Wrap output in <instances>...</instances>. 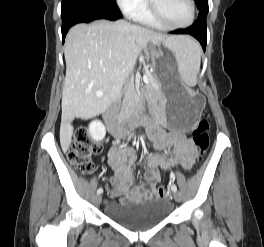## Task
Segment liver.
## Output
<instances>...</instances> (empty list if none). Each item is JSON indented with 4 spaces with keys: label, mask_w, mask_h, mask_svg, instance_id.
<instances>
[{
    "label": "liver",
    "mask_w": 264,
    "mask_h": 247,
    "mask_svg": "<svg viewBox=\"0 0 264 247\" xmlns=\"http://www.w3.org/2000/svg\"><path fill=\"white\" fill-rule=\"evenodd\" d=\"M177 38L125 21L98 20L72 27L64 48L66 77L60 127L63 152L71 144L73 119L99 115L117 100L141 51L148 55V43L172 44Z\"/></svg>",
    "instance_id": "liver-1"
}]
</instances>
